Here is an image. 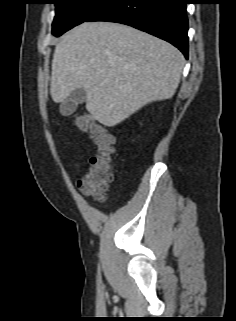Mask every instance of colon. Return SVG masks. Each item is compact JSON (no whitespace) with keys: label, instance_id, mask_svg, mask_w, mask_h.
Instances as JSON below:
<instances>
[{"label":"colon","instance_id":"colon-1","mask_svg":"<svg viewBox=\"0 0 236 321\" xmlns=\"http://www.w3.org/2000/svg\"><path fill=\"white\" fill-rule=\"evenodd\" d=\"M75 126L89 133L96 146V154L89 160V165L79 181V189L87 198L100 201L113 181L114 140L106 128L96 123L91 115L77 116Z\"/></svg>","mask_w":236,"mask_h":321}]
</instances>
